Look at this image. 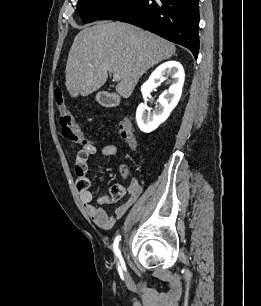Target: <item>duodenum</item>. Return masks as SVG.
Masks as SVG:
<instances>
[{"instance_id":"obj_1","label":"duodenum","mask_w":261,"mask_h":306,"mask_svg":"<svg viewBox=\"0 0 261 306\" xmlns=\"http://www.w3.org/2000/svg\"><path fill=\"white\" fill-rule=\"evenodd\" d=\"M101 102L107 107H113L117 105L118 98L113 94L105 93L101 96Z\"/></svg>"}]
</instances>
